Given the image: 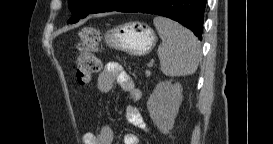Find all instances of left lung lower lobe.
Returning a JSON list of instances; mask_svg holds the SVG:
<instances>
[{
  "label": "left lung lower lobe",
  "instance_id": "0a47b994",
  "mask_svg": "<svg viewBox=\"0 0 273 144\" xmlns=\"http://www.w3.org/2000/svg\"><path fill=\"white\" fill-rule=\"evenodd\" d=\"M95 6L87 15L110 11L156 14L181 23L201 40L206 0H97ZM86 16L70 18L67 23Z\"/></svg>",
  "mask_w": 273,
  "mask_h": 144
}]
</instances>
